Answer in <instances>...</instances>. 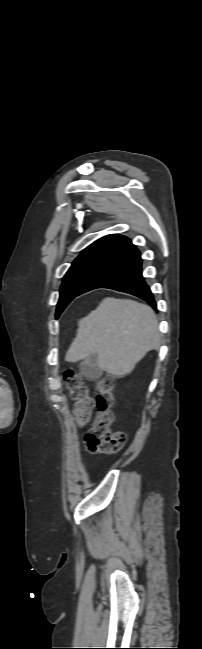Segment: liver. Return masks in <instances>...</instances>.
Instances as JSON below:
<instances>
[{"mask_svg":"<svg viewBox=\"0 0 202 649\" xmlns=\"http://www.w3.org/2000/svg\"><path fill=\"white\" fill-rule=\"evenodd\" d=\"M161 338L154 311L129 299L106 298L78 323L76 338L65 361L89 363L97 354L98 366L123 377L151 350L160 348Z\"/></svg>","mask_w":202,"mask_h":649,"instance_id":"1","label":"liver"}]
</instances>
